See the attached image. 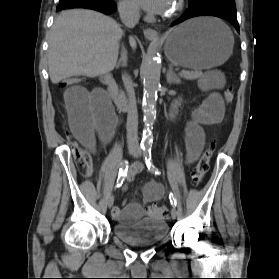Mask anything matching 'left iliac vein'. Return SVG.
<instances>
[{"label": "left iliac vein", "mask_w": 279, "mask_h": 279, "mask_svg": "<svg viewBox=\"0 0 279 279\" xmlns=\"http://www.w3.org/2000/svg\"><path fill=\"white\" fill-rule=\"evenodd\" d=\"M134 155H135L136 157H141V156H142L141 150H140L139 148L135 149ZM170 214H171V217H172L173 219H175V218L177 217V210H176L175 207H172V208H171Z\"/></svg>", "instance_id": "left-iliac-vein-1"}]
</instances>
